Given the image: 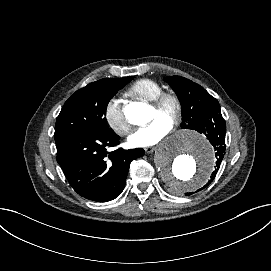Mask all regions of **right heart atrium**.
Returning a JSON list of instances; mask_svg holds the SVG:
<instances>
[{
    "label": "right heart atrium",
    "mask_w": 271,
    "mask_h": 271,
    "mask_svg": "<svg viewBox=\"0 0 271 271\" xmlns=\"http://www.w3.org/2000/svg\"><path fill=\"white\" fill-rule=\"evenodd\" d=\"M103 118L107 125L118 135L124 136L130 130L129 120L122 107L119 94L111 95L104 104Z\"/></svg>",
    "instance_id": "right-heart-atrium-1"
}]
</instances>
